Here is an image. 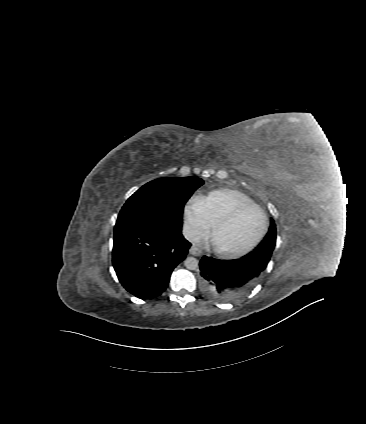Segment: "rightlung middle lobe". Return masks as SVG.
Wrapping results in <instances>:
<instances>
[{
    "label": "right lung middle lobe",
    "mask_w": 366,
    "mask_h": 424,
    "mask_svg": "<svg viewBox=\"0 0 366 424\" xmlns=\"http://www.w3.org/2000/svg\"><path fill=\"white\" fill-rule=\"evenodd\" d=\"M204 184L196 177L159 178L138 189L122 207L116 225L157 224L179 232L185 203Z\"/></svg>",
    "instance_id": "obj_1"
}]
</instances>
